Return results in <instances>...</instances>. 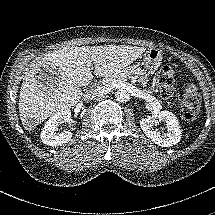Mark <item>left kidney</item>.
<instances>
[{"label": "left kidney", "mask_w": 215, "mask_h": 215, "mask_svg": "<svg viewBox=\"0 0 215 215\" xmlns=\"http://www.w3.org/2000/svg\"><path fill=\"white\" fill-rule=\"evenodd\" d=\"M163 123L167 132L163 128L154 129L155 126ZM140 127L151 141L161 147H171L180 142L181 129L177 117L169 111H160L157 115L148 116L140 120Z\"/></svg>", "instance_id": "obj_1"}]
</instances>
